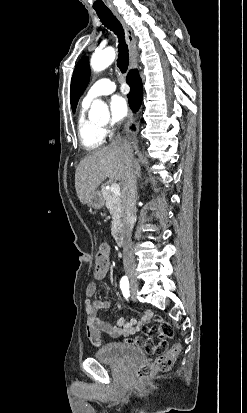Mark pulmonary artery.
I'll list each match as a JSON object with an SVG mask.
<instances>
[{
  "instance_id": "pulmonary-artery-1",
  "label": "pulmonary artery",
  "mask_w": 247,
  "mask_h": 413,
  "mask_svg": "<svg viewBox=\"0 0 247 413\" xmlns=\"http://www.w3.org/2000/svg\"><path fill=\"white\" fill-rule=\"evenodd\" d=\"M116 88V84L113 80L107 77H101L94 81L88 88L85 97L84 103L89 104L96 97L110 94Z\"/></svg>"
}]
</instances>
